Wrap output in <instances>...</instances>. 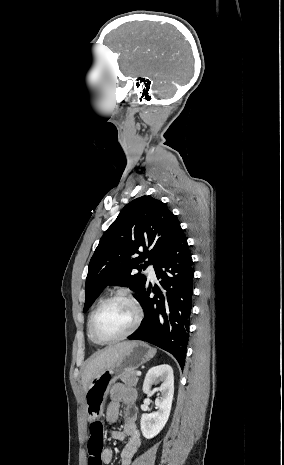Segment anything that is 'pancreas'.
I'll list each match as a JSON object with an SVG mask.
<instances>
[{"instance_id": "pancreas-1", "label": "pancreas", "mask_w": 284, "mask_h": 465, "mask_svg": "<svg viewBox=\"0 0 284 465\" xmlns=\"http://www.w3.org/2000/svg\"><path fill=\"white\" fill-rule=\"evenodd\" d=\"M137 371H129V373H122L119 379L125 383L126 387H136L138 383Z\"/></svg>"}]
</instances>
